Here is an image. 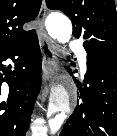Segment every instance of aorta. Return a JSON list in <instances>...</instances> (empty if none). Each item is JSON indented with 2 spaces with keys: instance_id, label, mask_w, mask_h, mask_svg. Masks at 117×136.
Masks as SVG:
<instances>
[{
  "instance_id": "aorta-1",
  "label": "aorta",
  "mask_w": 117,
  "mask_h": 136,
  "mask_svg": "<svg viewBox=\"0 0 117 136\" xmlns=\"http://www.w3.org/2000/svg\"><path fill=\"white\" fill-rule=\"evenodd\" d=\"M49 35L60 43H66L72 35L71 21L62 14H51L46 21ZM70 112V95L63 87H55L50 95L47 116L62 120Z\"/></svg>"
}]
</instances>
